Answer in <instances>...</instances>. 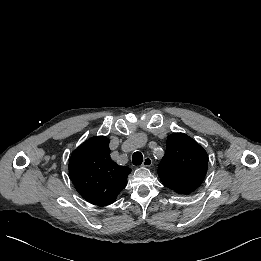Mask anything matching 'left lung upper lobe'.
Segmentation results:
<instances>
[{
    "mask_svg": "<svg viewBox=\"0 0 261 261\" xmlns=\"http://www.w3.org/2000/svg\"><path fill=\"white\" fill-rule=\"evenodd\" d=\"M208 167L206 151L184 133L169 135L166 152L158 166L165 186L179 194L196 190L203 182Z\"/></svg>",
    "mask_w": 261,
    "mask_h": 261,
    "instance_id": "1",
    "label": "left lung upper lobe"
}]
</instances>
